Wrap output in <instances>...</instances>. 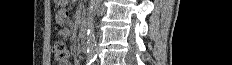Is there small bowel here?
<instances>
[{
    "instance_id": "1",
    "label": "small bowel",
    "mask_w": 232,
    "mask_h": 65,
    "mask_svg": "<svg viewBox=\"0 0 232 65\" xmlns=\"http://www.w3.org/2000/svg\"><path fill=\"white\" fill-rule=\"evenodd\" d=\"M74 12H57L55 16V21H66V17H74ZM56 28L59 29V32H55V37H65L61 38V43H68V40H77V35H72L70 29L67 28V23H56ZM60 65H70L68 62H62Z\"/></svg>"
}]
</instances>
